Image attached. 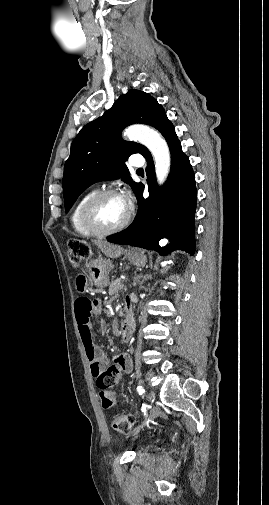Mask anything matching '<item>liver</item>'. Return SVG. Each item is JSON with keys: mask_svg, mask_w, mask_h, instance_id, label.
<instances>
[{"mask_svg": "<svg viewBox=\"0 0 269 505\" xmlns=\"http://www.w3.org/2000/svg\"><path fill=\"white\" fill-rule=\"evenodd\" d=\"M95 245H97L105 256L109 258H118L124 252V249L121 246L109 244L107 242L95 240L93 241Z\"/></svg>", "mask_w": 269, "mask_h": 505, "instance_id": "obj_1", "label": "liver"}]
</instances>
